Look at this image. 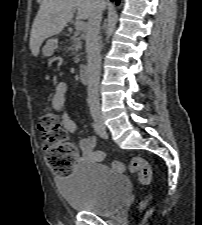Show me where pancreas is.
I'll return each instance as SVG.
<instances>
[{"label": "pancreas", "instance_id": "pancreas-1", "mask_svg": "<svg viewBox=\"0 0 202 225\" xmlns=\"http://www.w3.org/2000/svg\"><path fill=\"white\" fill-rule=\"evenodd\" d=\"M81 46V38L79 37V33L77 32L73 37H71V46L67 47V51H72L76 63L79 62L80 54H78V52L81 49Z\"/></svg>", "mask_w": 202, "mask_h": 225}]
</instances>
